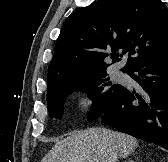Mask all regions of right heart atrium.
Wrapping results in <instances>:
<instances>
[{
    "label": "right heart atrium",
    "instance_id": "d8ad5b80",
    "mask_svg": "<svg viewBox=\"0 0 168 162\" xmlns=\"http://www.w3.org/2000/svg\"><path fill=\"white\" fill-rule=\"evenodd\" d=\"M83 106H88L90 104V100L87 96H84L81 100Z\"/></svg>",
    "mask_w": 168,
    "mask_h": 162
}]
</instances>
